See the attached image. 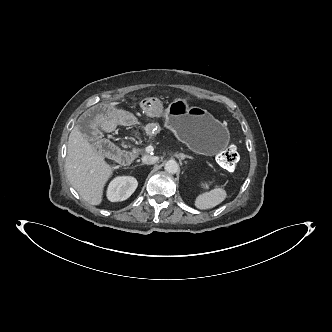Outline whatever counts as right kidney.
Listing matches in <instances>:
<instances>
[{"mask_svg":"<svg viewBox=\"0 0 332 332\" xmlns=\"http://www.w3.org/2000/svg\"><path fill=\"white\" fill-rule=\"evenodd\" d=\"M138 186V182L131 176H119L114 178L107 190V198L111 202L123 201L129 198Z\"/></svg>","mask_w":332,"mask_h":332,"instance_id":"1","label":"right kidney"}]
</instances>
